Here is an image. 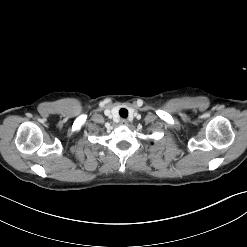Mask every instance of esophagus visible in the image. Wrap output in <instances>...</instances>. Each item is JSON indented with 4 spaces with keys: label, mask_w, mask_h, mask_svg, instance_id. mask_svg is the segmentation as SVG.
Segmentation results:
<instances>
[{
    "label": "esophagus",
    "mask_w": 247,
    "mask_h": 247,
    "mask_svg": "<svg viewBox=\"0 0 247 247\" xmlns=\"http://www.w3.org/2000/svg\"><path fill=\"white\" fill-rule=\"evenodd\" d=\"M121 124H122V125H127V124H128V121H127L126 119H122V120H121Z\"/></svg>",
    "instance_id": "1"
}]
</instances>
